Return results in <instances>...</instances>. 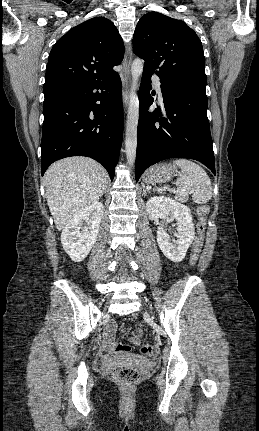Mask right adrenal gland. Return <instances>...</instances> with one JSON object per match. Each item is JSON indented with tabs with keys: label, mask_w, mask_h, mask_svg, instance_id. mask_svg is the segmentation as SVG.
Masks as SVG:
<instances>
[{
	"label": "right adrenal gland",
	"mask_w": 259,
	"mask_h": 431,
	"mask_svg": "<svg viewBox=\"0 0 259 431\" xmlns=\"http://www.w3.org/2000/svg\"><path fill=\"white\" fill-rule=\"evenodd\" d=\"M107 189H108V188H107V186H106V187H105V190H104V194L107 192Z\"/></svg>",
	"instance_id": "1"
}]
</instances>
